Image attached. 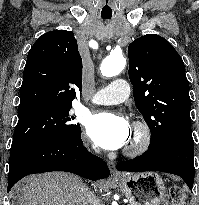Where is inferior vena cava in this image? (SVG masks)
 I'll return each instance as SVG.
<instances>
[{
  "mask_svg": "<svg viewBox=\"0 0 199 205\" xmlns=\"http://www.w3.org/2000/svg\"><path fill=\"white\" fill-rule=\"evenodd\" d=\"M85 196L87 200V205H102L101 200L96 197V195L88 190V188L85 189Z\"/></svg>",
  "mask_w": 199,
  "mask_h": 205,
  "instance_id": "1",
  "label": "inferior vena cava"
}]
</instances>
